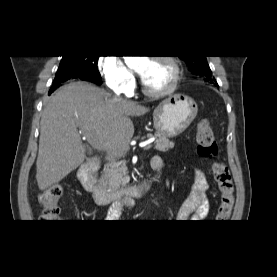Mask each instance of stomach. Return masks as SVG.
<instances>
[{
  "instance_id": "obj_1",
  "label": "stomach",
  "mask_w": 277,
  "mask_h": 277,
  "mask_svg": "<svg viewBox=\"0 0 277 277\" xmlns=\"http://www.w3.org/2000/svg\"><path fill=\"white\" fill-rule=\"evenodd\" d=\"M196 102L183 94H174L162 101L153 112L156 133L166 138L182 134L195 119Z\"/></svg>"
}]
</instances>
